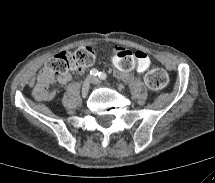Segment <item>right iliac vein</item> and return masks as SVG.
<instances>
[{"instance_id": "right-iliac-vein-1", "label": "right iliac vein", "mask_w": 215, "mask_h": 183, "mask_svg": "<svg viewBox=\"0 0 215 183\" xmlns=\"http://www.w3.org/2000/svg\"><path fill=\"white\" fill-rule=\"evenodd\" d=\"M90 84H91V77L88 76L82 84V96L83 97L87 96L89 89H90Z\"/></svg>"}]
</instances>
